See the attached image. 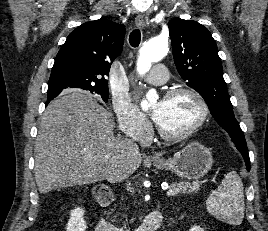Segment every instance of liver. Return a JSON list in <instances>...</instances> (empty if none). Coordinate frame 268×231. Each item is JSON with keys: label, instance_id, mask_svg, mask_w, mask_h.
<instances>
[{"label": "liver", "instance_id": "obj_1", "mask_svg": "<svg viewBox=\"0 0 268 231\" xmlns=\"http://www.w3.org/2000/svg\"><path fill=\"white\" fill-rule=\"evenodd\" d=\"M111 113L91 95L68 90L41 118L35 143V180L40 193L122 181L142 162L139 147L116 138Z\"/></svg>", "mask_w": 268, "mask_h": 231}]
</instances>
